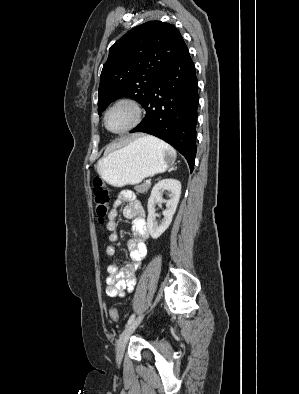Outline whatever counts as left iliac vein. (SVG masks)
<instances>
[{"label": "left iliac vein", "mask_w": 299, "mask_h": 394, "mask_svg": "<svg viewBox=\"0 0 299 394\" xmlns=\"http://www.w3.org/2000/svg\"><path fill=\"white\" fill-rule=\"evenodd\" d=\"M143 316H139L136 319H134L127 327L124 329L122 332L120 339L118 341L117 345V362L120 363L123 358V354L125 351V346L130 338V336L133 334V332L136 330L140 322L142 321Z\"/></svg>", "instance_id": "4c4485c4"}]
</instances>
